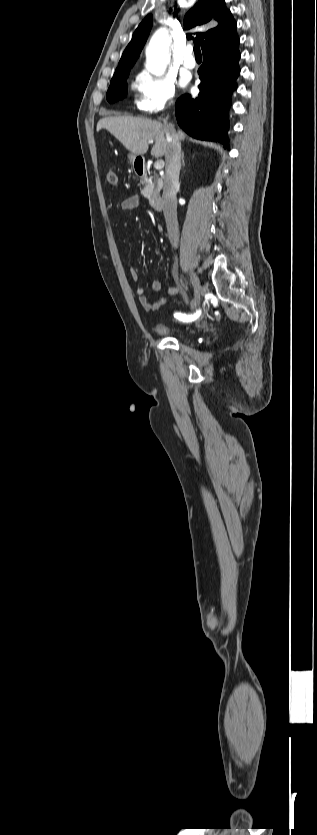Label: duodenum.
<instances>
[{"mask_svg":"<svg viewBox=\"0 0 317 835\" xmlns=\"http://www.w3.org/2000/svg\"><path fill=\"white\" fill-rule=\"evenodd\" d=\"M135 171L140 176H145L147 173L146 165L142 160L135 162ZM149 204L153 210L160 211L163 208V199L160 194H152L149 197Z\"/></svg>","mask_w":317,"mask_h":835,"instance_id":"410a0bca","label":"duodenum"}]
</instances>
